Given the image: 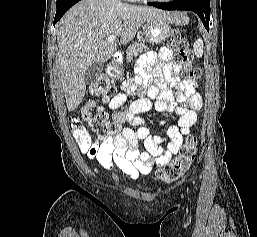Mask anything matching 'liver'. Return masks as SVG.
Wrapping results in <instances>:
<instances>
[{
    "label": "liver",
    "mask_w": 257,
    "mask_h": 237,
    "mask_svg": "<svg viewBox=\"0 0 257 237\" xmlns=\"http://www.w3.org/2000/svg\"><path fill=\"white\" fill-rule=\"evenodd\" d=\"M154 17L175 24L183 22L178 14L128 5L118 0H82L65 13L57 24L60 78L68 111L81 103L86 83L84 75L94 62L104 63L117 51L115 35L125 45L132 41L140 27Z\"/></svg>",
    "instance_id": "1"
}]
</instances>
